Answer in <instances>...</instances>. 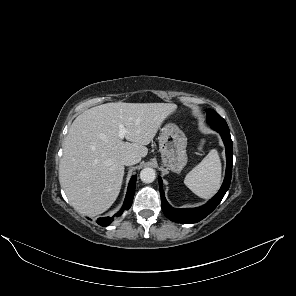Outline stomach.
Instances as JSON below:
<instances>
[{
    "instance_id": "0dacf381",
    "label": "stomach",
    "mask_w": 296,
    "mask_h": 296,
    "mask_svg": "<svg viewBox=\"0 0 296 296\" xmlns=\"http://www.w3.org/2000/svg\"><path fill=\"white\" fill-rule=\"evenodd\" d=\"M187 138L182 130L173 123L162 128L159 136V151L167 169L179 173L187 164Z\"/></svg>"
}]
</instances>
